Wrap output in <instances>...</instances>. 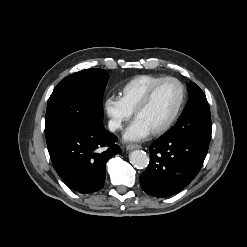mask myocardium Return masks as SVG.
Returning a JSON list of instances; mask_svg holds the SVG:
<instances>
[{"label":"myocardium","instance_id":"obj_1","mask_svg":"<svg viewBox=\"0 0 247 247\" xmlns=\"http://www.w3.org/2000/svg\"><path fill=\"white\" fill-rule=\"evenodd\" d=\"M168 82H174L176 83L179 88H180V101L179 104L175 110V112L173 113V115L171 116V118L164 124L162 125L160 128L152 131L151 133L155 136L158 135H162L164 133H166L168 130L171 129V127L176 123V121L178 120V118L180 117L185 103H186V97H187V91H186V87L185 85L177 78L175 77H165L162 80H160L159 82H157L155 85H153L148 92L145 94V96L143 97V99L140 101V103L137 105V107L134 110V117L136 118L137 115L143 111L145 108L148 107V105L151 103L153 97L155 96L156 92L159 90V88L164 85L165 83Z\"/></svg>","mask_w":247,"mask_h":247}]
</instances>
